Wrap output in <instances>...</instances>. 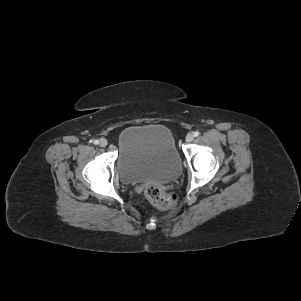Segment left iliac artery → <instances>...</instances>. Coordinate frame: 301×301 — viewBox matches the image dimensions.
<instances>
[{
    "label": "left iliac artery",
    "instance_id": "44dca946",
    "mask_svg": "<svg viewBox=\"0 0 301 301\" xmlns=\"http://www.w3.org/2000/svg\"><path fill=\"white\" fill-rule=\"evenodd\" d=\"M199 135H200V133H199L198 131H195V132H194V136H195V137H198Z\"/></svg>",
    "mask_w": 301,
    "mask_h": 301
}]
</instances>
